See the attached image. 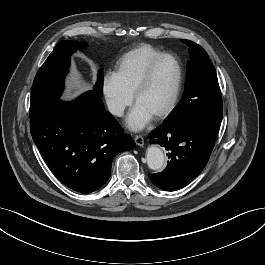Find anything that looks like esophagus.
<instances>
[{"mask_svg":"<svg viewBox=\"0 0 265 265\" xmlns=\"http://www.w3.org/2000/svg\"><path fill=\"white\" fill-rule=\"evenodd\" d=\"M134 141H135L136 145H138V146L144 145V138L140 135L135 136Z\"/></svg>","mask_w":265,"mask_h":265,"instance_id":"34e87169","label":"esophagus"}]
</instances>
